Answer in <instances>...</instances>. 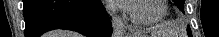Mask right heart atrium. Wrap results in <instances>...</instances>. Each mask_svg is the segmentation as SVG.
<instances>
[{"label": "right heart atrium", "mask_w": 219, "mask_h": 37, "mask_svg": "<svg viewBox=\"0 0 219 37\" xmlns=\"http://www.w3.org/2000/svg\"><path fill=\"white\" fill-rule=\"evenodd\" d=\"M110 8H113V5H110Z\"/></svg>", "instance_id": "right-heart-atrium-1"}]
</instances>
